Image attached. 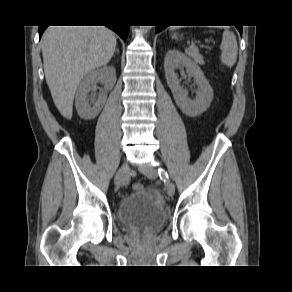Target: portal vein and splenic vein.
Segmentation results:
<instances>
[{"label": "portal vein and splenic vein", "mask_w": 292, "mask_h": 292, "mask_svg": "<svg viewBox=\"0 0 292 292\" xmlns=\"http://www.w3.org/2000/svg\"><path fill=\"white\" fill-rule=\"evenodd\" d=\"M189 49H190V50H194L195 48H194L193 46H191ZM187 50H188V49H187ZM187 50H186V51H187Z\"/></svg>", "instance_id": "1"}]
</instances>
